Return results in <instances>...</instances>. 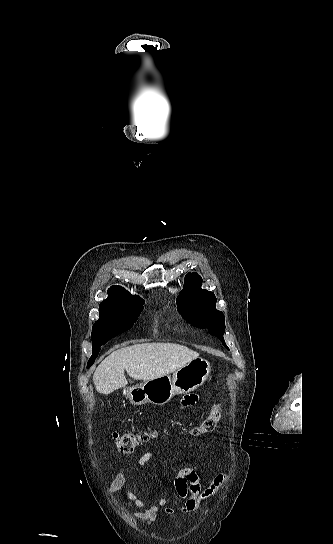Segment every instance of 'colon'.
Listing matches in <instances>:
<instances>
[{
	"label": "colon",
	"instance_id": "5ec220e1",
	"mask_svg": "<svg viewBox=\"0 0 333 544\" xmlns=\"http://www.w3.org/2000/svg\"><path fill=\"white\" fill-rule=\"evenodd\" d=\"M222 414V405H215L201 423L191 430V433L193 435H200L213 431L222 418ZM152 437L153 433L150 432H126L123 434L115 432L113 434L117 450L122 454L133 452L138 445L147 442Z\"/></svg>",
	"mask_w": 333,
	"mask_h": 544
}]
</instances>
